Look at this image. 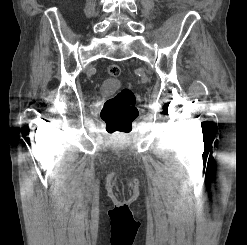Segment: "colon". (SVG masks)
<instances>
[{"instance_id":"5ec220e1","label":"colon","mask_w":247,"mask_h":245,"mask_svg":"<svg viewBox=\"0 0 247 245\" xmlns=\"http://www.w3.org/2000/svg\"><path fill=\"white\" fill-rule=\"evenodd\" d=\"M121 69L117 64L108 67V74L117 77ZM138 116L136 97L129 88L121 89L116 95L107 99L101 110V118L111 133H127Z\"/></svg>"}]
</instances>
